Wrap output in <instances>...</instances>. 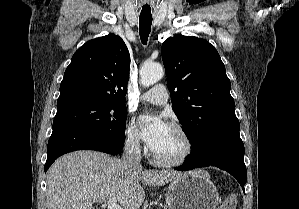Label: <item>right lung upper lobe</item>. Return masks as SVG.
Masks as SVG:
<instances>
[{
    "instance_id": "cb5924a9",
    "label": "right lung upper lobe",
    "mask_w": 299,
    "mask_h": 209,
    "mask_svg": "<svg viewBox=\"0 0 299 209\" xmlns=\"http://www.w3.org/2000/svg\"><path fill=\"white\" fill-rule=\"evenodd\" d=\"M130 54L115 34L86 42L72 56L57 104L75 101L125 102Z\"/></svg>"
}]
</instances>
